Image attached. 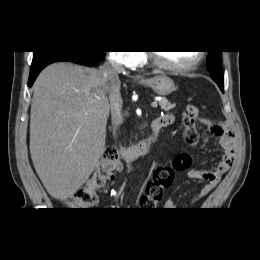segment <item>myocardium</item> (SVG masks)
<instances>
[{
  "label": "myocardium",
  "instance_id": "f54148a6",
  "mask_svg": "<svg viewBox=\"0 0 260 260\" xmlns=\"http://www.w3.org/2000/svg\"><path fill=\"white\" fill-rule=\"evenodd\" d=\"M198 55L196 59L186 65H172L169 63H166L163 61L157 52L154 51H148L147 56L150 59V61L157 66L158 68H161L166 71H172V72H186V71H191L195 69L204 59V52L203 51H197Z\"/></svg>",
  "mask_w": 260,
  "mask_h": 260
}]
</instances>
